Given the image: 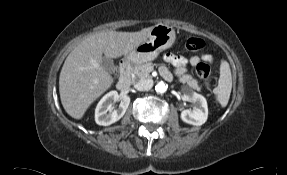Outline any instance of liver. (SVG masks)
<instances>
[{"label":"liver","instance_id":"liver-1","mask_svg":"<svg viewBox=\"0 0 287 175\" xmlns=\"http://www.w3.org/2000/svg\"><path fill=\"white\" fill-rule=\"evenodd\" d=\"M153 27L138 32L102 31L86 37L67 56L59 77V92L65 111L81 119L88 107L113 84L102 67V55H127L146 41Z\"/></svg>","mask_w":287,"mask_h":175}]
</instances>
